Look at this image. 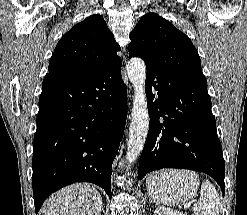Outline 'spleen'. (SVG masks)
I'll use <instances>...</instances> for the list:
<instances>
[{"label":"spleen","instance_id":"1","mask_svg":"<svg viewBox=\"0 0 247 215\" xmlns=\"http://www.w3.org/2000/svg\"><path fill=\"white\" fill-rule=\"evenodd\" d=\"M220 198L217 190L209 181L201 185L200 198L194 204L195 215H219Z\"/></svg>","mask_w":247,"mask_h":215}]
</instances>
